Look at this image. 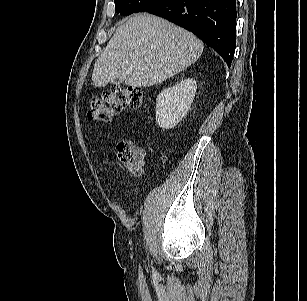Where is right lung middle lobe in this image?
Here are the masks:
<instances>
[{
  "instance_id": "right-lung-middle-lobe-1",
  "label": "right lung middle lobe",
  "mask_w": 307,
  "mask_h": 301,
  "mask_svg": "<svg viewBox=\"0 0 307 301\" xmlns=\"http://www.w3.org/2000/svg\"><path fill=\"white\" fill-rule=\"evenodd\" d=\"M158 0H114L115 10L121 15H130L141 12L143 9Z\"/></svg>"
}]
</instances>
